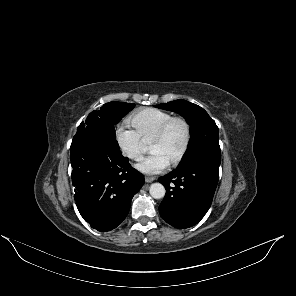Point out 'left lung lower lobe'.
<instances>
[{
	"label": "left lung lower lobe",
	"instance_id": "obj_1",
	"mask_svg": "<svg viewBox=\"0 0 296 296\" xmlns=\"http://www.w3.org/2000/svg\"><path fill=\"white\" fill-rule=\"evenodd\" d=\"M220 161V153L203 155L158 179L166 189L159 211L167 223L182 229L204 217L217 187Z\"/></svg>",
	"mask_w": 296,
	"mask_h": 296
}]
</instances>
